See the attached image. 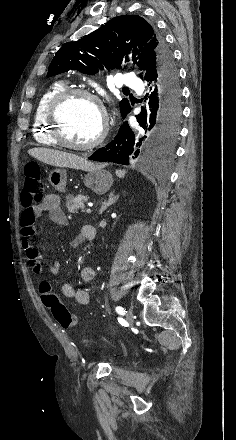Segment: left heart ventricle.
Masks as SVG:
<instances>
[{
  "label": "left heart ventricle",
  "instance_id": "left-heart-ventricle-1",
  "mask_svg": "<svg viewBox=\"0 0 236 440\" xmlns=\"http://www.w3.org/2000/svg\"><path fill=\"white\" fill-rule=\"evenodd\" d=\"M63 136L72 143L92 141L101 128V115L96 105L81 97L70 98L60 109Z\"/></svg>",
  "mask_w": 236,
  "mask_h": 440
}]
</instances>
